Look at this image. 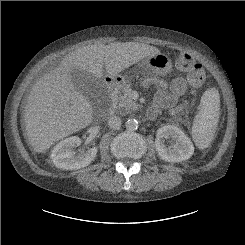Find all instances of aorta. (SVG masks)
I'll return each mask as SVG.
<instances>
[{"label":"aorta","instance_id":"obj_1","mask_svg":"<svg viewBox=\"0 0 245 245\" xmlns=\"http://www.w3.org/2000/svg\"><path fill=\"white\" fill-rule=\"evenodd\" d=\"M125 126H126V129L129 130V131H134L138 128L139 126V123L136 119H128L126 122H125Z\"/></svg>","mask_w":245,"mask_h":245}]
</instances>
